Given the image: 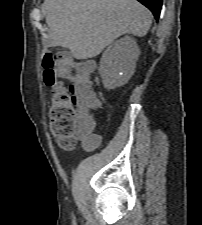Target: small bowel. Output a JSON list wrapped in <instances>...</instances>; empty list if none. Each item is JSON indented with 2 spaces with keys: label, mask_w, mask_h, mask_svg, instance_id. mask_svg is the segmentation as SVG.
<instances>
[{
  "label": "small bowel",
  "mask_w": 202,
  "mask_h": 225,
  "mask_svg": "<svg viewBox=\"0 0 202 225\" xmlns=\"http://www.w3.org/2000/svg\"><path fill=\"white\" fill-rule=\"evenodd\" d=\"M94 65L95 64L93 61H85L84 62V67L87 70H90L91 68H93ZM77 103H78L79 110L81 112H89L94 109L93 107L90 106V102L86 97H79L77 100ZM84 124L89 126L92 129L94 128V124L91 121L85 120ZM95 135L98 136L97 134H95ZM104 141H105L104 137H101L98 144L101 145L104 143Z\"/></svg>",
  "instance_id": "obj_1"
}]
</instances>
